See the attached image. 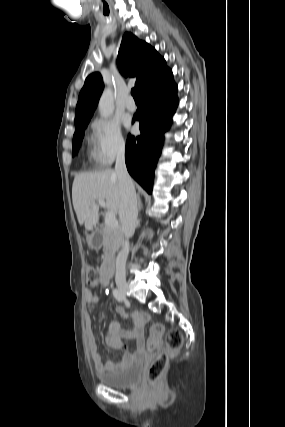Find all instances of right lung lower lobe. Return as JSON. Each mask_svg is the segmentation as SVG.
Returning <instances> with one entry per match:
<instances>
[{
    "instance_id": "right-lung-lower-lobe-1",
    "label": "right lung lower lobe",
    "mask_w": 285,
    "mask_h": 427,
    "mask_svg": "<svg viewBox=\"0 0 285 427\" xmlns=\"http://www.w3.org/2000/svg\"><path fill=\"white\" fill-rule=\"evenodd\" d=\"M177 85L167 68L141 90V108L134 115L140 121V136H128L125 160L130 175L148 192H152L154 169L161 154L163 133L171 124L178 105Z\"/></svg>"
}]
</instances>
